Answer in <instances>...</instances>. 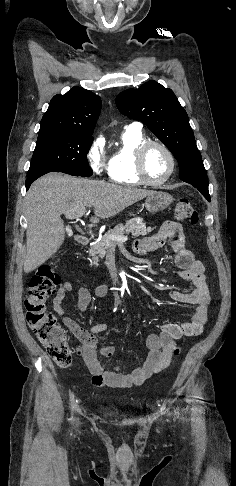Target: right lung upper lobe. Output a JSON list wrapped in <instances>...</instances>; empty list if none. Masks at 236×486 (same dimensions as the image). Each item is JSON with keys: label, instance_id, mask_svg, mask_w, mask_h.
Masks as SVG:
<instances>
[{"label": "right lung upper lobe", "instance_id": "obj_1", "mask_svg": "<svg viewBox=\"0 0 236 486\" xmlns=\"http://www.w3.org/2000/svg\"><path fill=\"white\" fill-rule=\"evenodd\" d=\"M101 110V99L81 87L55 95L43 115L40 130L92 134Z\"/></svg>", "mask_w": 236, "mask_h": 486}]
</instances>
